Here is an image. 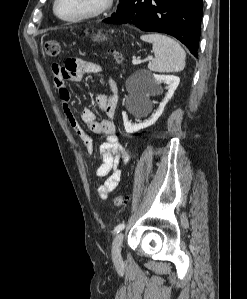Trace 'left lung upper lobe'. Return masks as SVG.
Returning a JSON list of instances; mask_svg holds the SVG:
<instances>
[{"label":"left lung upper lobe","mask_w":247,"mask_h":299,"mask_svg":"<svg viewBox=\"0 0 247 299\" xmlns=\"http://www.w3.org/2000/svg\"><path fill=\"white\" fill-rule=\"evenodd\" d=\"M119 1H120V5H119V8L117 9V11L124 8L130 0H119Z\"/></svg>","instance_id":"left-lung-upper-lobe-1"}]
</instances>
